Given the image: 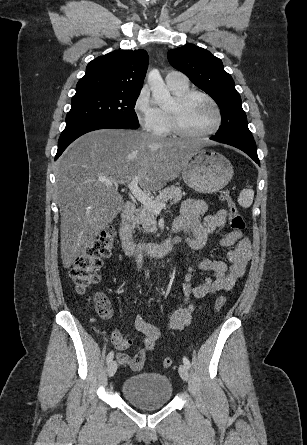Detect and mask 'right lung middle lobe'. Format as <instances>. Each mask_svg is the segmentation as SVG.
<instances>
[{
	"label": "right lung middle lobe",
	"mask_w": 307,
	"mask_h": 445,
	"mask_svg": "<svg viewBox=\"0 0 307 445\" xmlns=\"http://www.w3.org/2000/svg\"><path fill=\"white\" fill-rule=\"evenodd\" d=\"M139 94H90L73 96L66 125L81 121H113L137 129L139 122L134 107Z\"/></svg>",
	"instance_id": "dd1d6c3e"
}]
</instances>
